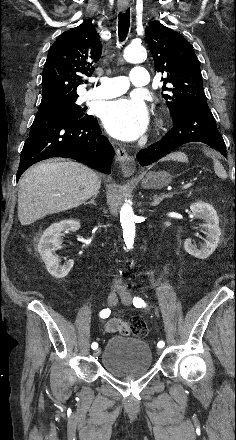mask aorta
I'll return each instance as SVG.
<instances>
[{"label":"aorta","instance_id":"1","mask_svg":"<svg viewBox=\"0 0 236 440\" xmlns=\"http://www.w3.org/2000/svg\"><path fill=\"white\" fill-rule=\"evenodd\" d=\"M124 59L129 63H141L146 60V49L141 45L130 44L124 49ZM135 220L136 216L132 207L125 203L120 210V222L123 229V238L125 245L131 249L135 239Z\"/></svg>","mask_w":236,"mask_h":440}]
</instances>
